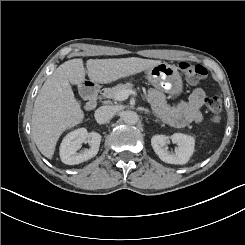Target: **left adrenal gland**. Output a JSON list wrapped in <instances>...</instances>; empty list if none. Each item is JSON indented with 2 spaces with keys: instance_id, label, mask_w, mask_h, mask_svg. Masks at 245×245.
Wrapping results in <instances>:
<instances>
[{
  "instance_id": "left-adrenal-gland-1",
  "label": "left adrenal gland",
  "mask_w": 245,
  "mask_h": 245,
  "mask_svg": "<svg viewBox=\"0 0 245 245\" xmlns=\"http://www.w3.org/2000/svg\"><path fill=\"white\" fill-rule=\"evenodd\" d=\"M144 111H146V109H143ZM156 118H159L158 115H156L155 113H152Z\"/></svg>"
}]
</instances>
